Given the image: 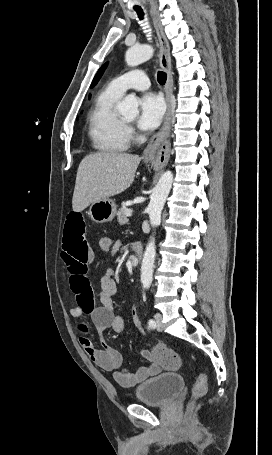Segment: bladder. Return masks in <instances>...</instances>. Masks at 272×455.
Segmentation results:
<instances>
[{
  "label": "bladder",
  "instance_id": "1",
  "mask_svg": "<svg viewBox=\"0 0 272 455\" xmlns=\"http://www.w3.org/2000/svg\"><path fill=\"white\" fill-rule=\"evenodd\" d=\"M185 385L184 378L175 372H164L141 383L135 389L138 402L165 406L170 403Z\"/></svg>",
  "mask_w": 272,
  "mask_h": 455
}]
</instances>
